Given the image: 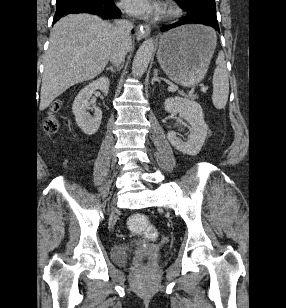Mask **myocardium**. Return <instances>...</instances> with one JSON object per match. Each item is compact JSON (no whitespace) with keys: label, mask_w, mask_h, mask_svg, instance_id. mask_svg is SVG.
Listing matches in <instances>:
<instances>
[{"label":"myocardium","mask_w":286,"mask_h":308,"mask_svg":"<svg viewBox=\"0 0 286 308\" xmlns=\"http://www.w3.org/2000/svg\"><path fill=\"white\" fill-rule=\"evenodd\" d=\"M179 13V10L177 9V7L173 6V5H169L167 6L164 11H163V15L165 17H174Z\"/></svg>","instance_id":"myocardium-1"}]
</instances>
